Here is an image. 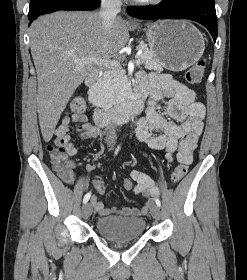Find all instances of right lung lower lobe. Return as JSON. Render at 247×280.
<instances>
[{
	"label": "right lung lower lobe",
	"mask_w": 247,
	"mask_h": 280,
	"mask_svg": "<svg viewBox=\"0 0 247 280\" xmlns=\"http://www.w3.org/2000/svg\"><path fill=\"white\" fill-rule=\"evenodd\" d=\"M100 0H42L37 6L29 8L28 18L32 22L38 16L59 10H89L98 7Z\"/></svg>",
	"instance_id": "98d812e1"
}]
</instances>
